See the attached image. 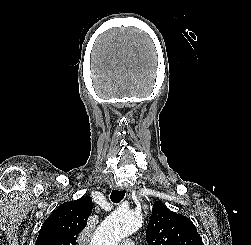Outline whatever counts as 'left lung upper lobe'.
I'll return each instance as SVG.
<instances>
[{
	"label": "left lung upper lobe",
	"instance_id": "left-lung-upper-lobe-1",
	"mask_svg": "<svg viewBox=\"0 0 251 245\" xmlns=\"http://www.w3.org/2000/svg\"><path fill=\"white\" fill-rule=\"evenodd\" d=\"M148 245H203L194 224L156 201L147 227Z\"/></svg>",
	"mask_w": 251,
	"mask_h": 245
}]
</instances>
